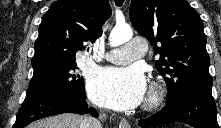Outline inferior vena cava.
I'll use <instances>...</instances> for the list:
<instances>
[{
  "label": "inferior vena cava",
  "mask_w": 221,
  "mask_h": 128,
  "mask_svg": "<svg viewBox=\"0 0 221 128\" xmlns=\"http://www.w3.org/2000/svg\"><path fill=\"white\" fill-rule=\"evenodd\" d=\"M83 125V128H102L100 121L92 117H86Z\"/></svg>",
  "instance_id": "602c4592"
}]
</instances>
